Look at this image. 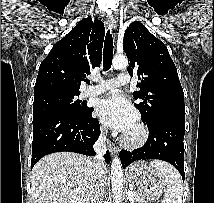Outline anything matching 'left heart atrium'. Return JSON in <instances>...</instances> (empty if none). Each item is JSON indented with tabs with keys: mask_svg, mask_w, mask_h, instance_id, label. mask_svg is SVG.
Listing matches in <instances>:
<instances>
[{
	"mask_svg": "<svg viewBox=\"0 0 214 203\" xmlns=\"http://www.w3.org/2000/svg\"><path fill=\"white\" fill-rule=\"evenodd\" d=\"M96 114L108 127L130 132L136 126L137 114L119 91L111 92L96 107Z\"/></svg>",
	"mask_w": 214,
	"mask_h": 203,
	"instance_id": "obj_1",
	"label": "left heart atrium"
}]
</instances>
